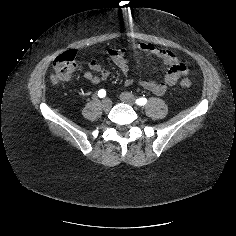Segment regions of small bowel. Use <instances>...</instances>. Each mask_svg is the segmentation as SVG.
Segmentation results:
<instances>
[{
	"instance_id": "obj_1",
	"label": "small bowel",
	"mask_w": 236,
	"mask_h": 236,
	"mask_svg": "<svg viewBox=\"0 0 236 236\" xmlns=\"http://www.w3.org/2000/svg\"><path fill=\"white\" fill-rule=\"evenodd\" d=\"M136 50L145 52L164 63L168 70L164 76L163 81L156 80H142L140 85L157 95L164 94L169 87L177 84L178 80L188 73V66L181 61L171 50L160 48L152 43H138L134 46ZM127 50L123 47L111 48L106 51V54L114 62V64L124 73L125 86L134 84V79L129 76L130 60L126 57ZM89 70L84 72V78L91 84H99L109 78L110 71L101 67L96 59H92L89 64Z\"/></svg>"
}]
</instances>
